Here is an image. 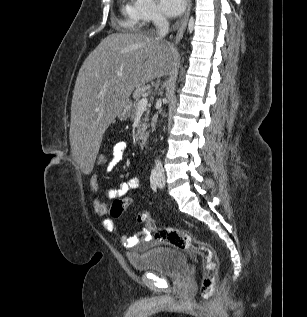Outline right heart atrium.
I'll use <instances>...</instances> for the list:
<instances>
[{
    "label": "right heart atrium",
    "instance_id": "1",
    "mask_svg": "<svg viewBox=\"0 0 307 317\" xmlns=\"http://www.w3.org/2000/svg\"><path fill=\"white\" fill-rule=\"evenodd\" d=\"M135 11L139 20L144 24H160L164 17L153 0H136Z\"/></svg>",
    "mask_w": 307,
    "mask_h": 317
}]
</instances>
